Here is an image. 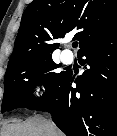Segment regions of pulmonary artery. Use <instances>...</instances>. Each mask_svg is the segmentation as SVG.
Here are the masks:
<instances>
[{
  "label": "pulmonary artery",
  "instance_id": "pulmonary-artery-1",
  "mask_svg": "<svg viewBox=\"0 0 117 136\" xmlns=\"http://www.w3.org/2000/svg\"><path fill=\"white\" fill-rule=\"evenodd\" d=\"M61 58L64 63L69 64L73 61V54L69 50H64L61 54Z\"/></svg>",
  "mask_w": 117,
  "mask_h": 136
}]
</instances>
